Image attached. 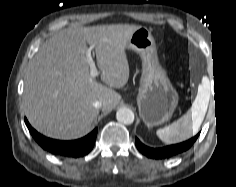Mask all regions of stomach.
Returning a JSON list of instances; mask_svg holds the SVG:
<instances>
[{"label":"stomach","mask_w":236,"mask_h":187,"mask_svg":"<svg viewBox=\"0 0 236 187\" xmlns=\"http://www.w3.org/2000/svg\"><path fill=\"white\" fill-rule=\"evenodd\" d=\"M127 47L142 59V75L137 94L139 114L147 127L168 122L179 105V94L158 59L151 32L140 27L130 37Z\"/></svg>","instance_id":"0dacf381"}]
</instances>
